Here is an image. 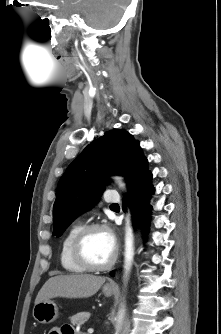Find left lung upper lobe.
Returning <instances> with one entry per match:
<instances>
[{
    "label": "left lung upper lobe",
    "mask_w": 221,
    "mask_h": 334,
    "mask_svg": "<svg viewBox=\"0 0 221 334\" xmlns=\"http://www.w3.org/2000/svg\"><path fill=\"white\" fill-rule=\"evenodd\" d=\"M147 163L139 142L125 130L108 131L92 141L58 183L53 235L61 236L79 214L97 202L109 183L108 175H122L129 185Z\"/></svg>",
    "instance_id": "left-lung-upper-lobe-1"
}]
</instances>
